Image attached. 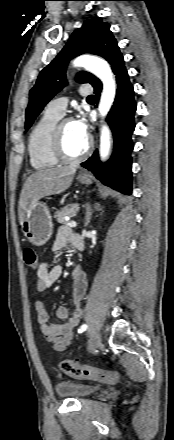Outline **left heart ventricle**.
<instances>
[{"mask_svg":"<svg viewBox=\"0 0 174 440\" xmlns=\"http://www.w3.org/2000/svg\"><path fill=\"white\" fill-rule=\"evenodd\" d=\"M62 133L64 149L69 156H77L84 151L87 140L77 135L72 122L67 121L63 124Z\"/></svg>","mask_w":174,"mask_h":440,"instance_id":"1","label":"left heart ventricle"}]
</instances>
